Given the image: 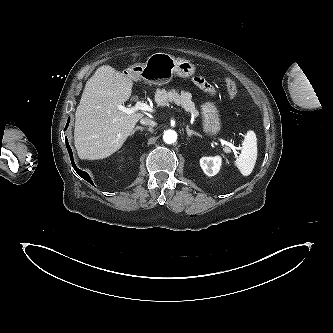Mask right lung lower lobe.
Instances as JSON below:
<instances>
[{"label": "right lung lower lobe", "mask_w": 333, "mask_h": 333, "mask_svg": "<svg viewBox=\"0 0 333 333\" xmlns=\"http://www.w3.org/2000/svg\"><path fill=\"white\" fill-rule=\"evenodd\" d=\"M69 122H70V119H68L65 129H67V127H68V125H69ZM65 140H66V147H67V150H68V153H69V156H70V159H71L72 166H73L74 170H75V171L78 173V175H80L83 179H85L86 181H88L89 183H91V184L93 185L92 180H91L90 176L88 175V173L85 172V171H82V170H80V169H78V168L76 167V165H75V163H74V160H73L72 150H71V148H70V146H69V143H68L67 138H66Z\"/></svg>", "instance_id": "right-lung-lower-lobe-1"}]
</instances>
